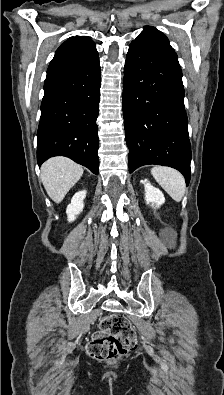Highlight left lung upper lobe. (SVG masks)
I'll return each mask as SVG.
<instances>
[{
	"mask_svg": "<svg viewBox=\"0 0 224 395\" xmlns=\"http://www.w3.org/2000/svg\"><path fill=\"white\" fill-rule=\"evenodd\" d=\"M132 42L157 48L171 55L177 56L174 49L170 46L168 38L154 27H145V30Z\"/></svg>",
	"mask_w": 224,
	"mask_h": 395,
	"instance_id": "left-lung-upper-lobe-1",
	"label": "left lung upper lobe"
}]
</instances>
